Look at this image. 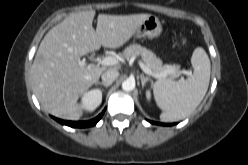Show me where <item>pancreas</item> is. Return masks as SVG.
<instances>
[{
    "mask_svg": "<svg viewBox=\"0 0 248 165\" xmlns=\"http://www.w3.org/2000/svg\"><path fill=\"white\" fill-rule=\"evenodd\" d=\"M134 55H140L145 65L155 74L165 73L167 78L174 79L180 76V65H168L162 63L156 55L139 44H132L125 48L122 56L127 60Z\"/></svg>",
    "mask_w": 248,
    "mask_h": 165,
    "instance_id": "1",
    "label": "pancreas"
}]
</instances>
